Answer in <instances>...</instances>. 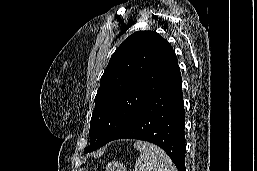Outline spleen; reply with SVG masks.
<instances>
[{
  "label": "spleen",
  "mask_w": 257,
  "mask_h": 171,
  "mask_svg": "<svg viewBox=\"0 0 257 171\" xmlns=\"http://www.w3.org/2000/svg\"><path fill=\"white\" fill-rule=\"evenodd\" d=\"M134 148L140 151L134 171H177L171 159L158 146L137 141Z\"/></svg>",
  "instance_id": "spleen-1"
}]
</instances>
